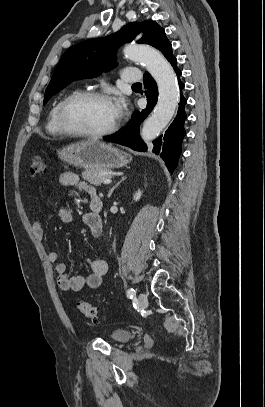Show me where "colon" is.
<instances>
[{
  "instance_id": "1",
  "label": "colon",
  "mask_w": 265,
  "mask_h": 407,
  "mask_svg": "<svg viewBox=\"0 0 265 407\" xmlns=\"http://www.w3.org/2000/svg\"><path fill=\"white\" fill-rule=\"evenodd\" d=\"M44 170L45 167L42 157L39 155L33 156L30 165V175L32 177L40 176L44 173ZM75 307L79 312H81L87 319L91 320L92 322L97 323L100 321L98 310L87 301L78 299L75 301Z\"/></svg>"
}]
</instances>
